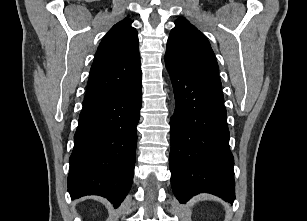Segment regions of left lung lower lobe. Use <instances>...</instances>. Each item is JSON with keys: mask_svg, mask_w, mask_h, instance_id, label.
<instances>
[{"mask_svg": "<svg viewBox=\"0 0 307 221\" xmlns=\"http://www.w3.org/2000/svg\"><path fill=\"white\" fill-rule=\"evenodd\" d=\"M165 64L176 100L169 156L174 194L180 203L201 192L233 203L234 158L223 94L200 83L166 56Z\"/></svg>", "mask_w": 307, "mask_h": 221, "instance_id": "1", "label": "left lung lower lobe"}]
</instances>
